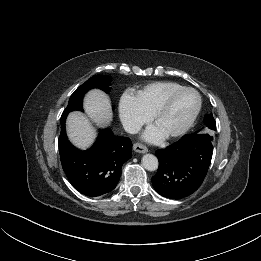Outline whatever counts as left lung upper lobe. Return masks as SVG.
<instances>
[{
  "label": "left lung upper lobe",
  "mask_w": 261,
  "mask_h": 261,
  "mask_svg": "<svg viewBox=\"0 0 261 261\" xmlns=\"http://www.w3.org/2000/svg\"><path fill=\"white\" fill-rule=\"evenodd\" d=\"M204 124L206 125V127L209 129V130H216V122L213 118V115L212 113L209 114V115H205V118H204ZM194 134H204V135H207L211 140L213 139V137L211 136V133L210 131H198Z\"/></svg>",
  "instance_id": "obj_1"
}]
</instances>
